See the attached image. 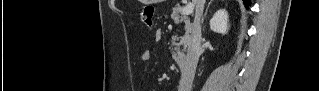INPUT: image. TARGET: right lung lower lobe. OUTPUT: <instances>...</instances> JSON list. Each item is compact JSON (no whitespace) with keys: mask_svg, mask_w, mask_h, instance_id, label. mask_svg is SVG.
<instances>
[{"mask_svg":"<svg viewBox=\"0 0 319 91\" xmlns=\"http://www.w3.org/2000/svg\"><path fill=\"white\" fill-rule=\"evenodd\" d=\"M243 2L245 4L246 8H248L249 5H250V1L249 0H243Z\"/></svg>","mask_w":319,"mask_h":91,"instance_id":"right-lung-lower-lobe-1","label":"right lung lower lobe"}]
</instances>
